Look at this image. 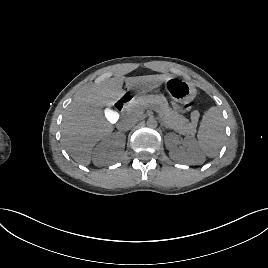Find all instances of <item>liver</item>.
Segmentation results:
<instances>
[{
	"label": "liver",
	"mask_w": 268,
	"mask_h": 268,
	"mask_svg": "<svg viewBox=\"0 0 268 268\" xmlns=\"http://www.w3.org/2000/svg\"><path fill=\"white\" fill-rule=\"evenodd\" d=\"M169 78L162 74L127 78L116 75L77 92L62 123L63 143L71 157L80 164L89 165L93 147L112 133L113 126L102 108L113 106L124 95V81L128 91L147 93ZM107 116L110 118L108 113Z\"/></svg>",
	"instance_id": "liver-1"
}]
</instances>
